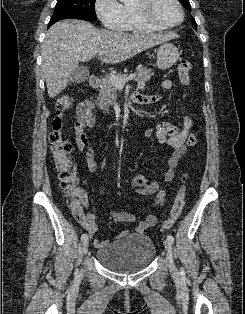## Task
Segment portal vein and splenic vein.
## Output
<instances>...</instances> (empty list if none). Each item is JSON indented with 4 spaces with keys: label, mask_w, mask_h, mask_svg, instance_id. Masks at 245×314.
Returning a JSON list of instances; mask_svg holds the SVG:
<instances>
[{
    "label": "portal vein and splenic vein",
    "mask_w": 245,
    "mask_h": 314,
    "mask_svg": "<svg viewBox=\"0 0 245 314\" xmlns=\"http://www.w3.org/2000/svg\"><path fill=\"white\" fill-rule=\"evenodd\" d=\"M106 53H107V50H102L98 54L99 55H104ZM135 77H136V74H131L128 77H124V78H120V77H117V76L112 75V74L110 75V79H111L112 83L117 88H123L126 82H128L130 80H133Z\"/></svg>",
    "instance_id": "18ae733b"
}]
</instances>
